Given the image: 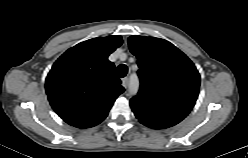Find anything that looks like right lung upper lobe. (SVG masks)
Returning <instances> with one entry per match:
<instances>
[{"label": "right lung upper lobe", "instance_id": "right-lung-upper-lobe-1", "mask_svg": "<svg viewBox=\"0 0 248 158\" xmlns=\"http://www.w3.org/2000/svg\"><path fill=\"white\" fill-rule=\"evenodd\" d=\"M122 44L119 35L93 38L68 49L52 66L45 90L66 123L93 127L102 122L124 92L108 56Z\"/></svg>", "mask_w": 248, "mask_h": 158}]
</instances>
